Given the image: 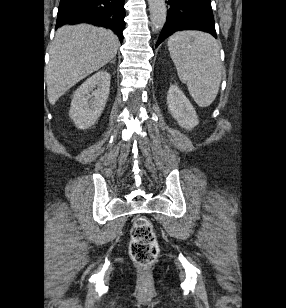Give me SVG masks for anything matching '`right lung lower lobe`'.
Returning <instances> with one entry per match:
<instances>
[{
    "label": "right lung lower lobe",
    "mask_w": 286,
    "mask_h": 308,
    "mask_svg": "<svg viewBox=\"0 0 286 308\" xmlns=\"http://www.w3.org/2000/svg\"><path fill=\"white\" fill-rule=\"evenodd\" d=\"M124 0H60L56 28L68 23H91L112 29L123 41Z\"/></svg>",
    "instance_id": "1"
}]
</instances>
